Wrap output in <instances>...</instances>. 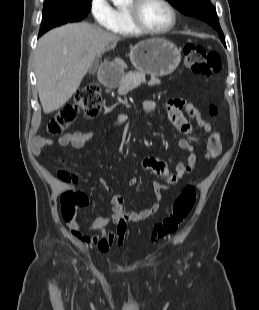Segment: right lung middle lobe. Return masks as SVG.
<instances>
[{
	"label": "right lung middle lobe",
	"instance_id": "obj_1",
	"mask_svg": "<svg viewBox=\"0 0 259 310\" xmlns=\"http://www.w3.org/2000/svg\"><path fill=\"white\" fill-rule=\"evenodd\" d=\"M91 1L61 0L44 3L39 36L54 27L81 21L91 10Z\"/></svg>",
	"mask_w": 259,
	"mask_h": 310
}]
</instances>
